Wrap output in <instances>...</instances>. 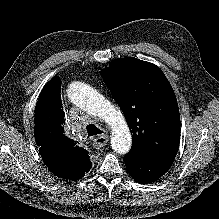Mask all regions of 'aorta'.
I'll use <instances>...</instances> for the list:
<instances>
[{
  "label": "aorta",
  "mask_w": 219,
  "mask_h": 219,
  "mask_svg": "<svg viewBox=\"0 0 219 219\" xmlns=\"http://www.w3.org/2000/svg\"><path fill=\"white\" fill-rule=\"evenodd\" d=\"M70 101L101 119L111 129V146L121 155L129 152L132 137L122 112L96 89L83 82H73L67 89Z\"/></svg>",
  "instance_id": "obj_1"
}]
</instances>
